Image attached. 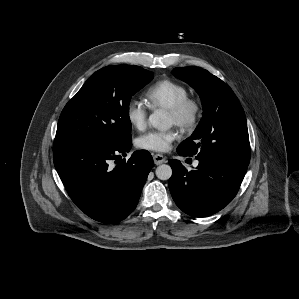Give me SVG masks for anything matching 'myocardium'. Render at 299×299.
I'll return each instance as SVG.
<instances>
[{
  "mask_svg": "<svg viewBox=\"0 0 299 299\" xmlns=\"http://www.w3.org/2000/svg\"><path fill=\"white\" fill-rule=\"evenodd\" d=\"M174 124L185 131L194 130L202 117L203 105L200 99L187 96L168 109Z\"/></svg>",
  "mask_w": 299,
  "mask_h": 299,
  "instance_id": "f54148a6",
  "label": "myocardium"
}]
</instances>
